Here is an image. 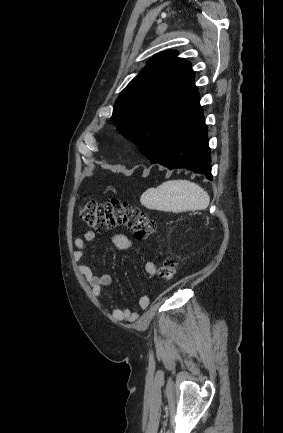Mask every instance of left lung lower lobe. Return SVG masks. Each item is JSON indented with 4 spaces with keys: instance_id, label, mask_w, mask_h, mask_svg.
<instances>
[{
    "instance_id": "0a47b994",
    "label": "left lung lower lobe",
    "mask_w": 283,
    "mask_h": 433,
    "mask_svg": "<svg viewBox=\"0 0 283 433\" xmlns=\"http://www.w3.org/2000/svg\"><path fill=\"white\" fill-rule=\"evenodd\" d=\"M139 150L152 164L187 168L212 180L207 126L203 111L176 125H155Z\"/></svg>"
}]
</instances>
